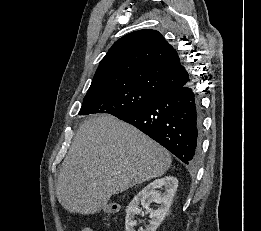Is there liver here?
<instances>
[{
	"mask_svg": "<svg viewBox=\"0 0 261 231\" xmlns=\"http://www.w3.org/2000/svg\"><path fill=\"white\" fill-rule=\"evenodd\" d=\"M170 153L132 125L109 114L79 126L62 163L56 196L70 213L95 214L112 195L162 176Z\"/></svg>",
	"mask_w": 261,
	"mask_h": 231,
	"instance_id": "obj_1",
	"label": "liver"
}]
</instances>
